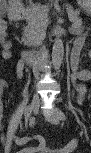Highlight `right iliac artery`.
I'll list each match as a JSON object with an SVG mask.
<instances>
[{"mask_svg": "<svg viewBox=\"0 0 91 153\" xmlns=\"http://www.w3.org/2000/svg\"><path fill=\"white\" fill-rule=\"evenodd\" d=\"M29 106L25 109V119L26 121L28 120V117H29Z\"/></svg>", "mask_w": 91, "mask_h": 153, "instance_id": "obj_1", "label": "right iliac artery"}]
</instances>
